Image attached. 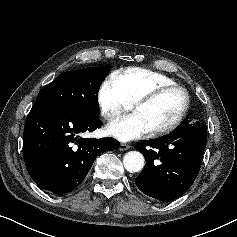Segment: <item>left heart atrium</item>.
Instances as JSON below:
<instances>
[{
  "instance_id": "1",
  "label": "left heart atrium",
  "mask_w": 237,
  "mask_h": 237,
  "mask_svg": "<svg viewBox=\"0 0 237 237\" xmlns=\"http://www.w3.org/2000/svg\"><path fill=\"white\" fill-rule=\"evenodd\" d=\"M150 131L142 118L135 114H129L121 117L109 124L106 128V133L121 141H130L141 138Z\"/></svg>"
}]
</instances>
